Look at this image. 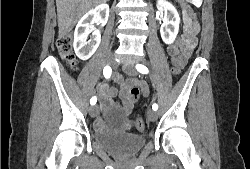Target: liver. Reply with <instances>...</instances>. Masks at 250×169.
I'll return each mask as SVG.
<instances>
[{
  "instance_id": "1",
  "label": "liver",
  "mask_w": 250,
  "mask_h": 169,
  "mask_svg": "<svg viewBox=\"0 0 250 169\" xmlns=\"http://www.w3.org/2000/svg\"><path fill=\"white\" fill-rule=\"evenodd\" d=\"M106 0H56L59 36H67L82 14Z\"/></svg>"
}]
</instances>
